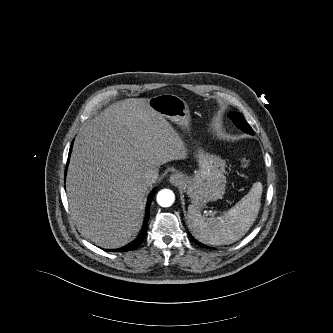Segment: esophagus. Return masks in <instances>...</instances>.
Returning a JSON list of instances; mask_svg holds the SVG:
<instances>
[{
    "mask_svg": "<svg viewBox=\"0 0 333 333\" xmlns=\"http://www.w3.org/2000/svg\"><path fill=\"white\" fill-rule=\"evenodd\" d=\"M170 183L174 186H179L183 183L184 178L180 173H173L169 179Z\"/></svg>",
    "mask_w": 333,
    "mask_h": 333,
    "instance_id": "obj_1",
    "label": "esophagus"
}]
</instances>
